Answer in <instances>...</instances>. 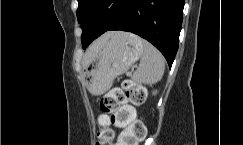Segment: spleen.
<instances>
[{
	"mask_svg": "<svg viewBox=\"0 0 243 145\" xmlns=\"http://www.w3.org/2000/svg\"><path fill=\"white\" fill-rule=\"evenodd\" d=\"M143 52L132 79L137 83L152 85L161 80L165 64L161 53L150 43L141 39Z\"/></svg>",
	"mask_w": 243,
	"mask_h": 145,
	"instance_id": "3e777b00",
	"label": "spleen"
}]
</instances>
